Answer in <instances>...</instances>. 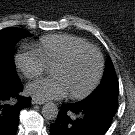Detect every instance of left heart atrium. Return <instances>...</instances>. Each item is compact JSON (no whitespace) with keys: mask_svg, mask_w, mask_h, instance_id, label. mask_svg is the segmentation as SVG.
<instances>
[{"mask_svg":"<svg viewBox=\"0 0 135 135\" xmlns=\"http://www.w3.org/2000/svg\"><path fill=\"white\" fill-rule=\"evenodd\" d=\"M27 92L40 101H48L65 97L68 90L60 78L52 77L29 84Z\"/></svg>","mask_w":135,"mask_h":135,"instance_id":"1","label":"left heart atrium"}]
</instances>
